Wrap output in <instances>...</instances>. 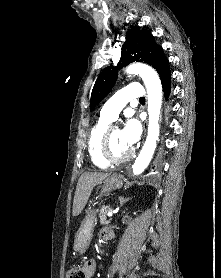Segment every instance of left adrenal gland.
<instances>
[{"label":"left adrenal gland","instance_id":"left-adrenal-gland-1","mask_svg":"<svg viewBox=\"0 0 221 278\" xmlns=\"http://www.w3.org/2000/svg\"><path fill=\"white\" fill-rule=\"evenodd\" d=\"M130 198H124V197H119V201H120V207L126 203L127 201H129Z\"/></svg>","mask_w":221,"mask_h":278}]
</instances>
